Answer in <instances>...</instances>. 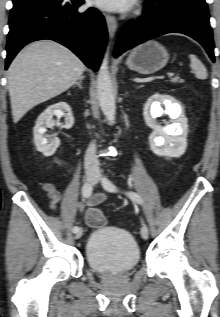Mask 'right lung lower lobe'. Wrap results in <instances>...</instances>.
<instances>
[{
	"mask_svg": "<svg viewBox=\"0 0 220 317\" xmlns=\"http://www.w3.org/2000/svg\"><path fill=\"white\" fill-rule=\"evenodd\" d=\"M83 3V0H28L13 5L5 68L26 44L51 39L68 47L97 71L107 41L106 24L94 8L77 12Z\"/></svg>",
	"mask_w": 220,
	"mask_h": 317,
	"instance_id": "1",
	"label": "right lung lower lobe"
}]
</instances>
